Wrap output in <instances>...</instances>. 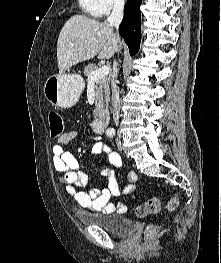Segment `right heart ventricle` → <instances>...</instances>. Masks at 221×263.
<instances>
[{
  "mask_svg": "<svg viewBox=\"0 0 221 263\" xmlns=\"http://www.w3.org/2000/svg\"><path fill=\"white\" fill-rule=\"evenodd\" d=\"M79 5L81 9L93 17L100 16L97 10L96 1L95 0H79Z\"/></svg>",
  "mask_w": 221,
  "mask_h": 263,
  "instance_id": "1",
  "label": "right heart ventricle"
}]
</instances>
